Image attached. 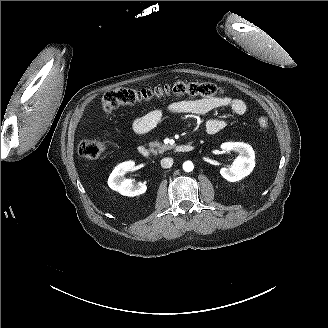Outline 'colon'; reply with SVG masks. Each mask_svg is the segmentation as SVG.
<instances>
[{
	"instance_id": "1",
	"label": "colon",
	"mask_w": 328,
	"mask_h": 328,
	"mask_svg": "<svg viewBox=\"0 0 328 328\" xmlns=\"http://www.w3.org/2000/svg\"><path fill=\"white\" fill-rule=\"evenodd\" d=\"M173 95L215 98L222 97L223 90L210 82H177L144 89L116 88L104 95L102 106L105 112L110 113L120 106L149 103ZM257 123L262 129H266L269 126L266 117H259ZM105 149L106 145L104 142L91 139L81 141L78 146L79 154L87 159H98Z\"/></svg>"
}]
</instances>
